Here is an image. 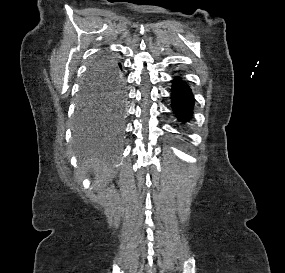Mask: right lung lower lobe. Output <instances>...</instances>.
<instances>
[{
  "mask_svg": "<svg viewBox=\"0 0 285 273\" xmlns=\"http://www.w3.org/2000/svg\"><path fill=\"white\" fill-rule=\"evenodd\" d=\"M120 68H121V64L119 63V64H117V73H118L119 77H121V79H122Z\"/></svg>",
  "mask_w": 285,
  "mask_h": 273,
  "instance_id": "98d812e1",
  "label": "right lung lower lobe"
}]
</instances>
